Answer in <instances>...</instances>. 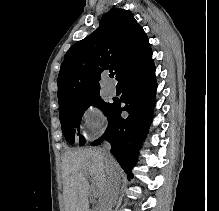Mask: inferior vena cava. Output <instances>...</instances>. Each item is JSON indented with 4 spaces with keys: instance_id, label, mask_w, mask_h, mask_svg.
<instances>
[{
    "instance_id": "obj_1",
    "label": "inferior vena cava",
    "mask_w": 219,
    "mask_h": 211,
    "mask_svg": "<svg viewBox=\"0 0 219 211\" xmlns=\"http://www.w3.org/2000/svg\"><path fill=\"white\" fill-rule=\"evenodd\" d=\"M110 149L111 145L108 143V141H104V161L106 171H109L110 178L108 179V182L106 184V193L107 197L104 198L105 202H102V207L107 208H98V211H111V207H115V202L117 201V198L120 197L119 194V188L121 187V184L123 182V179L125 178L124 174H120L119 170H116L115 166H112V155H110Z\"/></svg>"
}]
</instances>
